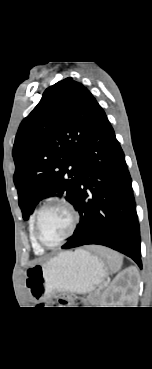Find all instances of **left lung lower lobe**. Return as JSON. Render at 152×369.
<instances>
[{
  "mask_svg": "<svg viewBox=\"0 0 152 369\" xmlns=\"http://www.w3.org/2000/svg\"><path fill=\"white\" fill-rule=\"evenodd\" d=\"M74 206L80 222L63 249L103 245L129 256L142 268L132 180L123 150L101 107L81 155Z\"/></svg>",
  "mask_w": 152,
  "mask_h": 369,
  "instance_id": "1",
  "label": "left lung lower lobe"
}]
</instances>
